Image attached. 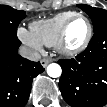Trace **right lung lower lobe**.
Here are the masks:
<instances>
[{
	"label": "right lung lower lobe",
	"instance_id": "98d812e1",
	"mask_svg": "<svg viewBox=\"0 0 107 107\" xmlns=\"http://www.w3.org/2000/svg\"><path fill=\"white\" fill-rule=\"evenodd\" d=\"M18 39L0 38V107L26 105L32 80L44 71L40 62L18 55Z\"/></svg>",
	"mask_w": 107,
	"mask_h": 107
}]
</instances>
